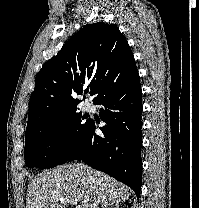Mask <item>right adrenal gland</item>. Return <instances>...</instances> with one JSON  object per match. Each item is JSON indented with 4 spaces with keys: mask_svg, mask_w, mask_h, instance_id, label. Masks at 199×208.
<instances>
[{
    "mask_svg": "<svg viewBox=\"0 0 199 208\" xmlns=\"http://www.w3.org/2000/svg\"><path fill=\"white\" fill-rule=\"evenodd\" d=\"M118 207H119V205L115 204V205L110 206L109 208H118Z\"/></svg>",
    "mask_w": 199,
    "mask_h": 208,
    "instance_id": "right-adrenal-gland-1",
    "label": "right adrenal gland"
}]
</instances>
